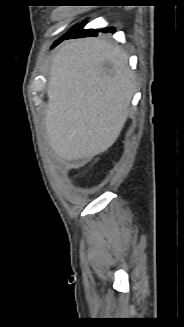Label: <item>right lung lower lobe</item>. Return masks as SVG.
<instances>
[{"label":"right lung lower lobe","mask_w":184,"mask_h":327,"mask_svg":"<svg viewBox=\"0 0 184 327\" xmlns=\"http://www.w3.org/2000/svg\"><path fill=\"white\" fill-rule=\"evenodd\" d=\"M85 24H86V22H82L81 24L77 25L72 31H70L64 37H62L61 40L70 39V38H78V37L96 36L97 32L95 29H83ZM99 31H102L104 33H107V32L114 33L115 29L113 27H108V28L101 29ZM60 41H58L57 43H59Z\"/></svg>","instance_id":"obj_1"}]
</instances>
